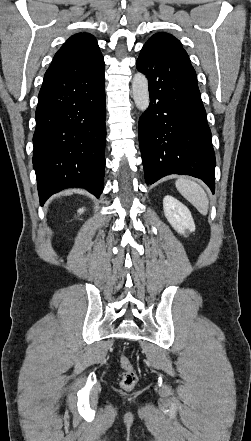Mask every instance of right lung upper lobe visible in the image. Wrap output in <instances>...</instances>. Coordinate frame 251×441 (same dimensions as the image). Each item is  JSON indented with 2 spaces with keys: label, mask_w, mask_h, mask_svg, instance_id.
<instances>
[{
  "label": "right lung upper lobe",
  "mask_w": 251,
  "mask_h": 441,
  "mask_svg": "<svg viewBox=\"0 0 251 441\" xmlns=\"http://www.w3.org/2000/svg\"><path fill=\"white\" fill-rule=\"evenodd\" d=\"M104 66L96 39L89 33L71 36L57 51L45 76L69 77L90 73Z\"/></svg>",
  "instance_id": "obj_1"
}]
</instances>
